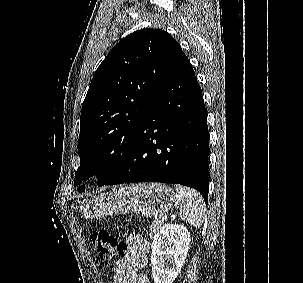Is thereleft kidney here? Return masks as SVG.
Instances as JSON below:
<instances>
[{"label": "left kidney", "mask_w": 303, "mask_h": 283, "mask_svg": "<svg viewBox=\"0 0 303 283\" xmlns=\"http://www.w3.org/2000/svg\"><path fill=\"white\" fill-rule=\"evenodd\" d=\"M190 233L179 224L164 225L152 242V276L155 283H173L185 262Z\"/></svg>", "instance_id": "obj_1"}]
</instances>
